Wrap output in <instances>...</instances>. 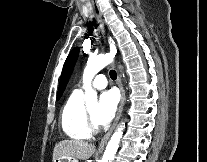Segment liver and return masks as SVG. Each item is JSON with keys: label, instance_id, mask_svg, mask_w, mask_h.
Instances as JSON below:
<instances>
[{"label": "liver", "instance_id": "6515ba94", "mask_svg": "<svg viewBox=\"0 0 207 162\" xmlns=\"http://www.w3.org/2000/svg\"><path fill=\"white\" fill-rule=\"evenodd\" d=\"M95 152V146L92 143L80 140H62L57 143L53 150V160L73 159V162L89 159Z\"/></svg>", "mask_w": 207, "mask_h": 162}]
</instances>
